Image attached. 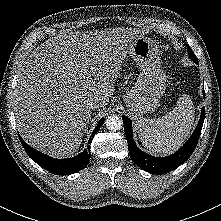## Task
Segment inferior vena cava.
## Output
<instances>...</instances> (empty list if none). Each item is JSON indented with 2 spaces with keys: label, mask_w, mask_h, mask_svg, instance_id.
<instances>
[{
  "label": "inferior vena cava",
  "mask_w": 221,
  "mask_h": 221,
  "mask_svg": "<svg viewBox=\"0 0 221 221\" xmlns=\"http://www.w3.org/2000/svg\"><path fill=\"white\" fill-rule=\"evenodd\" d=\"M87 107L90 109V110H94V109H97L99 107H101V103L97 100H92V101H89L87 103Z\"/></svg>",
  "instance_id": "602c4592"
}]
</instances>
